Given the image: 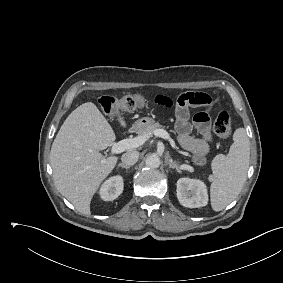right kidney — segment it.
<instances>
[{"label": "right kidney", "mask_w": 283, "mask_h": 283, "mask_svg": "<svg viewBox=\"0 0 283 283\" xmlns=\"http://www.w3.org/2000/svg\"><path fill=\"white\" fill-rule=\"evenodd\" d=\"M123 191V178L113 176L106 180L100 188L99 194L104 201L116 199Z\"/></svg>", "instance_id": "right-kidney-1"}]
</instances>
